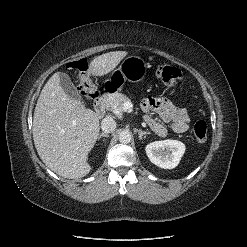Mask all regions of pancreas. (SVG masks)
<instances>
[{
    "mask_svg": "<svg viewBox=\"0 0 247 247\" xmlns=\"http://www.w3.org/2000/svg\"><path fill=\"white\" fill-rule=\"evenodd\" d=\"M130 99L121 93H116L105 99V107L111 111H119L118 116H121L124 106V103L129 102Z\"/></svg>",
    "mask_w": 247,
    "mask_h": 247,
    "instance_id": "obj_1",
    "label": "pancreas"
}]
</instances>
